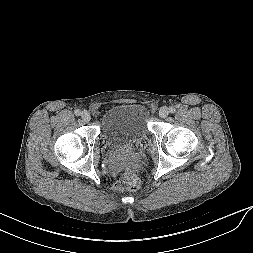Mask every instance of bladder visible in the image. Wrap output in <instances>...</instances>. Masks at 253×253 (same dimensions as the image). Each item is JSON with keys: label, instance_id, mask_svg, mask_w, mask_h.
Masks as SVG:
<instances>
[{"label": "bladder", "instance_id": "bladder-1", "mask_svg": "<svg viewBox=\"0 0 253 253\" xmlns=\"http://www.w3.org/2000/svg\"><path fill=\"white\" fill-rule=\"evenodd\" d=\"M148 109L139 103H120L111 107L101 119V134L111 149H124L143 143L148 134Z\"/></svg>", "mask_w": 253, "mask_h": 253}]
</instances>
